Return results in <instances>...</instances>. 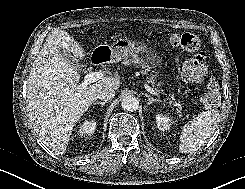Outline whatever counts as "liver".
Masks as SVG:
<instances>
[{
  "mask_svg": "<svg viewBox=\"0 0 245 189\" xmlns=\"http://www.w3.org/2000/svg\"><path fill=\"white\" fill-rule=\"evenodd\" d=\"M61 50L75 58L84 49L64 30L49 35L37 55L27 85V110L34 130L55 153L63 154L75 123L97 99L103 88L117 90L120 76H104L78 90L80 76L62 57Z\"/></svg>",
  "mask_w": 245,
  "mask_h": 189,
  "instance_id": "1",
  "label": "liver"
}]
</instances>
